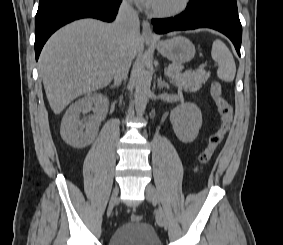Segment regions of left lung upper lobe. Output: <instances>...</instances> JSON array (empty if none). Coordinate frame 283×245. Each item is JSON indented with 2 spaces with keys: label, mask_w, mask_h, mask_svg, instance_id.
<instances>
[{
  "label": "left lung upper lobe",
  "mask_w": 283,
  "mask_h": 245,
  "mask_svg": "<svg viewBox=\"0 0 283 245\" xmlns=\"http://www.w3.org/2000/svg\"><path fill=\"white\" fill-rule=\"evenodd\" d=\"M190 9H220L238 13L236 0H190Z\"/></svg>",
  "instance_id": "1"
}]
</instances>
